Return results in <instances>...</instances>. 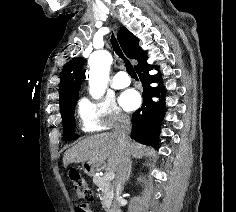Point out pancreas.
I'll list each match as a JSON object with an SVG mask.
<instances>
[{"instance_id": "obj_1", "label": "pancreas", "mask_w": 236, "mask_h": 212, "mask_svg": "<svg viewBox=\"0 0 236 212\" xmlns=\"http://www.w3.org/2000/svg\"><path fill=\"white\" fill-rule=\"evenodd\" d=\"M93 183L101 190V204L104 209H109L112 203L113 192L110 184V180H107L105 176H94Z\"/></svg>"}]
</instances>
